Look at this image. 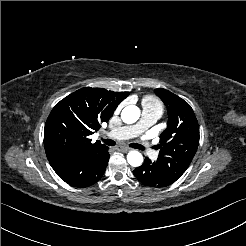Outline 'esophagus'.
I'll return each mask as SVG.
<instances>
[{
	"label": "esophagus",
	"mask_w": 246,
	"mask_h": 246,
	"mask_svg": "<svg viewBox=\"0 0 246 246\" xmlns=\"http://www.w3.org/2000/svg\"><path fill=\"white\" fill-rule=\"evenodd\" d=\"M118 151L122 152V153H127L129 151H131V148H128V147H120V148H117Z\"/></svg>",
	"instance_id": "obj_1"
}]
</instances>
